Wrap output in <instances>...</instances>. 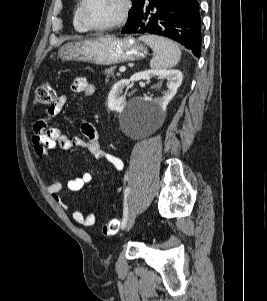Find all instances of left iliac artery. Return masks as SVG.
<instances>
[{
	"label": "left iliac artery",
	"instance_id": "44dca946",
	"mask_svg": "<svg viewBox=\"0 0 267 301\" xmlns=\"http://www.w3.org/2000/svg\"><path fill=\"white\" fill-rule=\"evenodd\" d=\"M129 192H130V188L126 187L124 190V209H123V220L121 222V228H125L128 219L127 197L129 195Z\"/></svg>",
	"mask_w": 267,
	"mask_h": 301
}]
</instances>
